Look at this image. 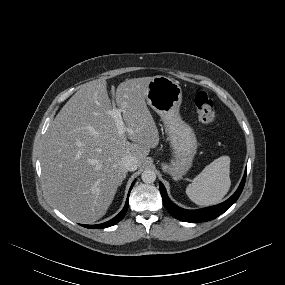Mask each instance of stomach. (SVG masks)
<instances>
[{"instance_id":"1","label":"stomach","mask_w":285,"mask_h":285,"mask_svg":"<svg viewBox=\"0 0 285 285\" xmlns=\"http://www.w3.org/2000/svg\"><path fill=\"white\" fill-rule=\"evenodd\" d=\"M145 98L161 117L172 148L174 162L163 164L162 168L174 179H179L191 168L197 151L194 131L179 114L182 89L178 81L158 75L149 82Z\"/></svg>"}]
</instances>
